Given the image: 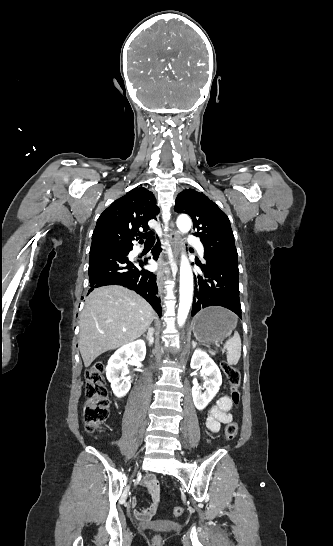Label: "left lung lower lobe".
I'll use <instances>...</instances> for the list:
<instances>
[{"label": "left lung lower lobe", "instance_id": "left-lung-lower-lobe-1", "mask_svg": "<svg viewBox=\"0 0 333 546\" xmlns=\"http://www.w3.org/2000/svg\"><path fill=\"white\" fill-rule=\"evenodd\" d=\"M205 260L204 265H199L203 276L198 275V277H195L197 283L194 292L192 316L202 308L222 306L233 311L241 318L237 261Z\"/></svg>", "mask_w": 333, "mask_h": 546}]
</instances>
